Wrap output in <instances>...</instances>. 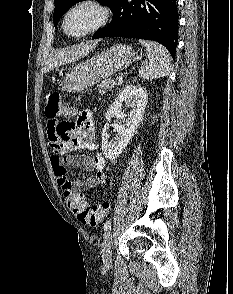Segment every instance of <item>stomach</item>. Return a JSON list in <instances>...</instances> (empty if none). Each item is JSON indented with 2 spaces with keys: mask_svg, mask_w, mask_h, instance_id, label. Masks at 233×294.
I'll use <instances>...</instances> for the list:
<instances>
[{
  "mask_svg": "<svg viewBox=\"0 0 233 294\" xmlns=\"http://www.w3.org/2000/svg\"><path fill=\"white\" fill-rule=\"evenodd\" d=\"M135 57L136 52L129 45L112 46L71 69L61 82V89L67 92H80L127 68Z\"/></svg>",
  "mask_w": 233,
  "mask_h": 294,
  "instance_id": "stomach-1",
  "label": "stomach"
}]
</instances>
